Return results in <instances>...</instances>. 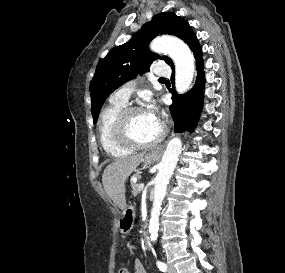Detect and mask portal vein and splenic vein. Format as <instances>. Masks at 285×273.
<instances>
[{
    "instance_id": "portal-vein-and-splenic-vein-1",
    "label": "portal vein and splenic vein",
    "mask_w": 285,
    "mask_h": 273,
    "mask_svg": "<svg viewBox=\"0 0 285 273\" xmlns=\"http://www.w3.org/2000/svg\"><path fill=\"white\" fill-rule=\"evenodd\" d=\"M143 189H144V184L142 183V184L139 185V190L141 191Z\"/></svg>"
}]
</instances>
